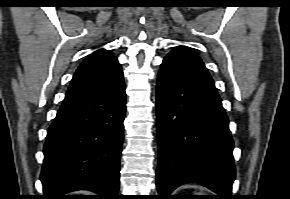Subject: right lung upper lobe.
I'll return each mask as SVG.
<instances>
[{
    "label": "right lung upper lobe",
    "instance_id": "cb5924a9",
    "mask_svg": "<svg viewBox=\"0 0 290 199\" xmlns=\"http://www.w3.org/2000/svg\"><path fill=\"white\" fill-rule=\"evenodd\" d=\"M123 80V72L114 54L99 49L88 56L76 70L64 101L91 96Z\"/></svg>",
    "mask_w": 290,
    "mask_h": 199
}]
</instances>
